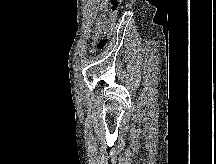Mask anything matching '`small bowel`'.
I'll return each mask as SVG.
<instances>
[{
	"instance_id": "c3829d8e",
	"label": "small bowel",
	"mask_w": 216,
	"mask_h": 164,
	"mask_svg": "<svg viewBox=\"0 0 216 164\" xmlns=\"http://www.w3.org/2000/svg\"><path fill=\"white\" fill-rule=\"evenodd\" d=\"M106 8H107V0H104V2H103V4H102V9L103 10H106ZM100 22H102V21H100ZM99 22V23H100Z\"/></svg>"
}]
</instances>
